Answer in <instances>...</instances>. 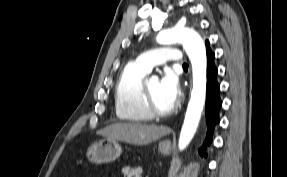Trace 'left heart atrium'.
Segmentation results:
<instances>
[{"instance_id":"obj_1","label":"left heart atrium","mask_w":287,"mask_h":177,"mask_svg":"<svg viewBox=\"0 0 287 177\" xmlns=\"http://www.w3.org/2000/svg\"><path fill=\"white\" fill-rule=\"evenodd\" d=\"M160 84L163 94L174 104L180 93L179 81L174 72L172 70L166 71Z\"/></svg>"}]
</instances>
